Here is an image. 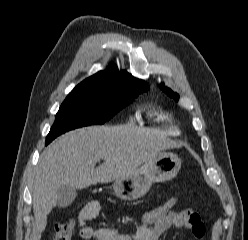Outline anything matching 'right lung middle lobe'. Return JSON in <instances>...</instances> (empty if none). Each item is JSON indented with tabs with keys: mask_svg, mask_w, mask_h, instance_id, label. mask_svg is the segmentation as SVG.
<instances>
[{
	"mask_svg": "<svg viewBox=\"0 0 248 240\" xmlns=\"http://www.w3.org/2000/svg\"><path fill=\"white\" fill-rule=\"evenodd\" d=\"M148 88L145 82L127 81L115 88L72 91L56 114L55 122L46 137V145L66 131L103 124Z\"/></svg>",
	"mask_w": 248,
	"mask_h": 240,
	"instance_id": "dd1d6c3e",
	"label": "right lung middle lobe"
}]
</instances>
